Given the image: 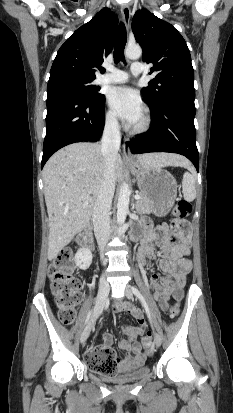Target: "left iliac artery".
<instances>
[{"instance_id": "1", "label": "left iliac artery", "mask_w": 233, "mask_h": 413, "mask_svg": "<svg viewBox=\"0 0 233 413\" xmlns=\"http://www.w3.org/2000/svg\"><path fill=\"white\" fill-rule=\"evenodd\" d=\"M131 289H132V292L134 293V295L141 301L143 307L145 308V311L147 313V316L149 318L151 326L153 327L152 320H151V315H150V311H149L147 302L145 301L144 297L142 296V294L139 292V290L136 287L133 286V287H131Z\"/></svg>"}]
</instances>
